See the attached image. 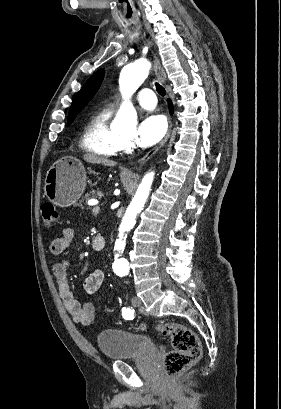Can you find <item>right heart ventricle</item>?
I'll use <instances>...</instances> for the list:
<instances>
[{
    "mask_svg": "<svg viewBox=\"0 0 281 409\" xmlns=\"http://www.w3.org/2000/svg\"><path fill=\"white\" fill-rule=\"evenodd\" d=\"M111 114L112 112L108 109L97 112L90 118L86 127L87 149L99 158L113 156L119 151L115 132L109 123Z\"/></svg>",
    "mask_w": 281,
    "mask_h": 409,
    "instance_id": "obj_1",
    "label": "right heart ventricle"
}]
</instances>
